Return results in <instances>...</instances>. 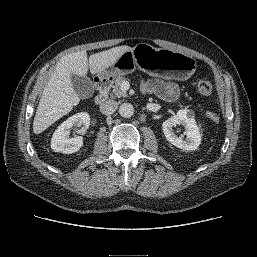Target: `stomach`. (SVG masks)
Listing matches in <instances>:
<instances>
[{
	"instance_id": "0dacf381",
	"label": "stomach",
	"mask_w": 257,
	"mask_h": 257,
	"mask_svg": "<svg viewBox=\"0 0 257 257\" xmlns=\"http://www.w3.org/2000/svg\"><path fill=\"white\" fill-rule=\"evenodd\" d=\"M196 67V60L192 56L139 43L132 50L123 53L110 69L99 75L113 78L139 69L149 75L186 80L194 74Z\"/></svg>"
}]
</instances>
